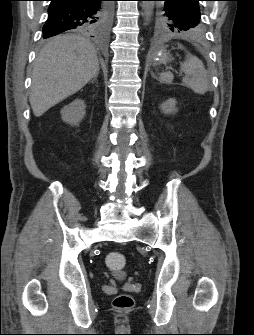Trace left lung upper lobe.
Segmentation results:
<instances>
[{"label": "left lung upper lobe", "instance_id": "left-lung-upper-lobe-1", "mask_svg": "<svg viewBox=\"0 0 254 335\" xmlns=\"http://www.w3.org/2000/svg\"><path fill=\"white\" fill-rule=\"evenodd\" d=\"M154 8L157 28L167 32L200 31L203 27L199 8L200 0H155Z\"/></svg>", "mask_w": 254, "mask_h": 335}]
</instances>
